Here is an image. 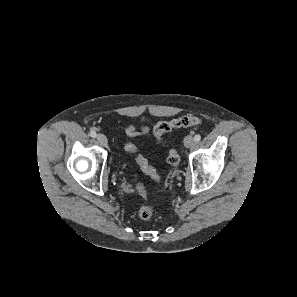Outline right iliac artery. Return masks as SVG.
<instances>
[{
    "label": "right iliac artery",
    "mask_w": 297,
    "mask_h": 297,
    "mask_svg": "<svg viewBox=\"0 0 297 297\" xmlns=\"http://www.w3.org/2000/svg\"><path fill=\"white\" fill-rule=\"evenodd\" d=\"M90 136L95 138L97 136L96 132L95 131H90Z\"/></svg>",
    "instance_id": "right-iliac-artery-1"
}]
</instances>
